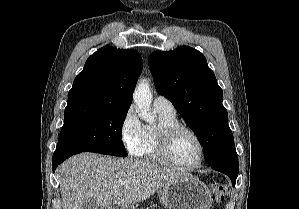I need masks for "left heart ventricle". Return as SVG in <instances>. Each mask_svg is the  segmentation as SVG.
Listing matches in <instances>:
<instances>
[{"mask_svg": "<svg viewBox=\"0 0 299 209\" xmlns=\"http://www.w3.org/2000/svg\"><path fill=\"white\" fill-rule=\"evenodd\" d=\"M200 155V148L195 138L189 133L178 134L172 146V156L181 165L195 164Z\"/></svg>", "mask_w": 299, "mask_h": 209, "instance_id": "left-heart-ventricle-1", "label": "left heart ventricle"}]
</instances>
